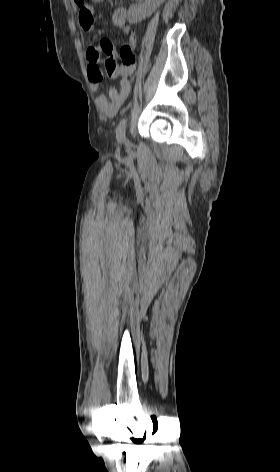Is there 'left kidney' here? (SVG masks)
<instances>
[{"instance_id":"obj_1","label":"left kidney","mask_w":280,"mask_h":472,"mask_svg":"<svg viewBox=\"0 0 280 472\" xmlns=\"http://www.w3.org/2000/svg\"><path fill=\"white\" fill-rule=\"evenodd\" d=\"M164 0H145L142 4H133L129 7V22L135 24L141 22L155 12Z\"/></svg>"}]
</instances>
